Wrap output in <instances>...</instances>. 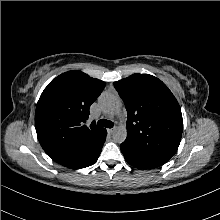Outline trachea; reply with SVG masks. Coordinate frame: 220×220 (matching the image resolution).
Wrapping results in <instances>:
<instances>
[{"label": "trachea", "instance_id": "obj_1", "mask_svg": "<svg viewBox=\"0 0 220 220\" xmlns=\"http://www.w3.org/2000/svg\"><path fill=\"white\" fill-rule=\"evenodd\" d=\"M98 125L106 128H112L114 126V123L106 119H101L98 121Z\"/></svg>", "mask_w": 220, "mask_h": 220}]
</instances>
